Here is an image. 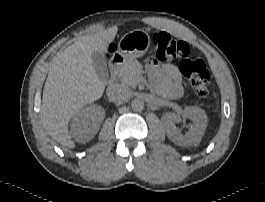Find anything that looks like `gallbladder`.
Segmentation results:
<instances>
[{
    "label": "gallbladder",
    "mask_w": 265,
    "mask_h": 202,
    "mask_svg": "<svg viewBox=\"0 0 265 202\" xmlns=\"http://www.w3.org/2000/svg\"><path fill=\"white\" fill-rule=\"evenodd\" d=\"M91 58L97 75L102 79L106 78L108 75V67L104 54L98 51H94L91 54Z\"/></svg>",
    "instance_id": "1"
}]
</instances>
